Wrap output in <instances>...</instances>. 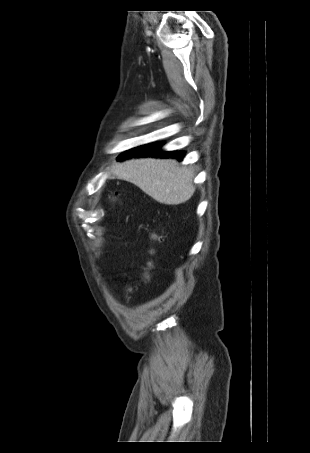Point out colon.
Wrapping results in <instances>:
<instances>
[{
    "label": "colon",
    "instance_id": "1",
    "mask_svg": "<svg viewBox=\"0 0 310 453\" xmlns=\"http://www.w3.org/2000/svg\"><path fill=\"white\" fill-rule=\"evenodd\" d=\"M152 238H153L154 240H156V239H157V235H155V234L152 235ZM149 267H151V263H149ZM145 277L147 278L148 276L146 275Z\"/></svg>",
    "mask_w": 310,
    "mask_h": 453
}]
</instances>
